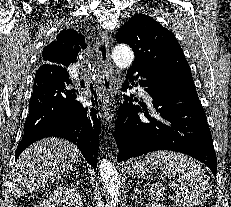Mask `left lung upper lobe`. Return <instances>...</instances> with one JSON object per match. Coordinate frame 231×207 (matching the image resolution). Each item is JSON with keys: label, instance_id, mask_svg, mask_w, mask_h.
<instances>
[{"label": "left lung upper lobe", "instance_id": "1", "mask_svg": "<svg viewBox=\"0 0 231 207\" xmlns=\"http://www.w3.org/2000/svg\"><path fill=\"white\" fill-rule=\"evenodd\" d=\"M118 43L135 52L132 67H148L166 74L171 88L194 84L190 67L174 34L144 14H135L118 31Z\"/></svg>", "mask_w": 231, "mask_h": 207}]
</instances>
